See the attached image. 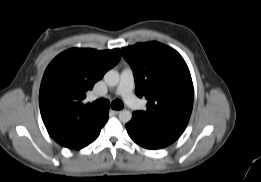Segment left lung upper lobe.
I'll use <instances>...</instances> for the list:
<instances>
[{"label":"left lung upper lobe","instance_id":"5c2ea615","mask_svg":"<svg viewBox=\"0 0 261 182\" xmlns=\"http://www.w3.org/2000/svg\"><path fill=\"white\" fill-rule=\"evenodd\" d=\"M134 71L136 94L148 100L146 111L133 113L143 126L181 135L193 107V83L187 64L174 49L137 43L121 49Z\"/></svg>","mask_w":261,"mask_h":182}]
</instances>
